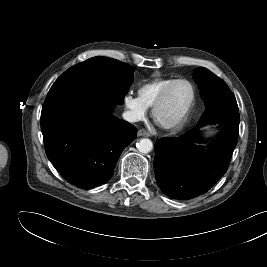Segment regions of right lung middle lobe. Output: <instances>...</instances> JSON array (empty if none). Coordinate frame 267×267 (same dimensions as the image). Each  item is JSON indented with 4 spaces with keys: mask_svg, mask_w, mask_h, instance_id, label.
I'll return each mask as SVG.
<instances>
[{
    "mask_svg": "<svg viewBox=\"0 0 267 267\" xmlns=\"http://www.w3.org/2000/svg\"><path fill=\"white\" fill-rule=\"evenodd\" d=\"M134 68L107 57H93L65 71L52 85L43 106L74 94H88L122 104Z\"/></svg>",
    "mask_w": 267,
    "mask_h": 267,
    "instance_id": "1",
    "label": "right lung middle lobe"
}]
</instances>
